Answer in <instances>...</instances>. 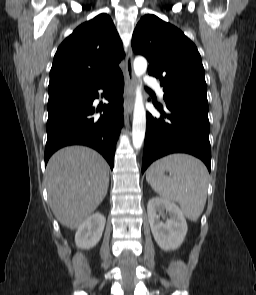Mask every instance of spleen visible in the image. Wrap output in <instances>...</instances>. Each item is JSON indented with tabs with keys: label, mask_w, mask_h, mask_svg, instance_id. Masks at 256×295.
Returning <instances> with one entry per match:
<instances>
[{
	"label": "spleen",
	"mask_w": 256,
	"mask_h": 295,
	"mask_svg": "<svg viewBox=\"0 0 256 295\" xmlns=\"http://www.w3.org/2000/svg\"><path fill=\"white\" fill-rule=\"evenodd\" d=\"M170 176H165L164 171ZM146 180L163 199L178 202L185 216L196 221L207 199L208 171L205 165L187 154H171L154 162Z\"/></svg>",
	"instance_id": "spleen-1"
}]
</instances>
